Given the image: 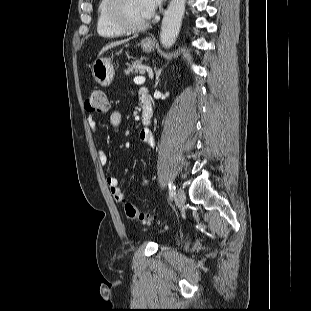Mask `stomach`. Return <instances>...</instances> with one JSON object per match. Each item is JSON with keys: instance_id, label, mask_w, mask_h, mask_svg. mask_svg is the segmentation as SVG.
I'll return each instance as SVG.
<instances>
[{"instance_id": "0dacf381", "label": "stomach", "mask_w": 311, "mask_h": 311, "mask_svg": "<svg viewBox=\"0 0 311 311\" xmlns=\"http://www.w3.org/2000/svg\"><path fill=\"white\" fill-rule=\"evenodd\" d=\"M143 51L149 53L154 49L153 42L149 39L141 41ZM92 75L97 83L102 86H108L114 78L115 71L110 58L100 57L92 65Z\"/></svg>"}]
</instances>
